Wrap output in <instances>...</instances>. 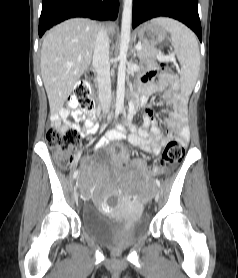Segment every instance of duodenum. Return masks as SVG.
Instances as JSON below:
<instances>
[{
    "label": "duodenum",
    "mask_w": 238,
    "mask_h": 278,
    "mask_svg": "<svg viewBox=\"0 0 238 278\" xmlns=\"http://www.w3.org/2000/svg\"><path fill=\"white\" fill-rule=\"evenodd\" d=\"M138 105H139V103H138L137 96L136 95H132L131 99L129 101L128 112L129 113H134V111L138 108Z\"/></svg>",
    "instance_id": "duodenum-1"
}]
</instances>
